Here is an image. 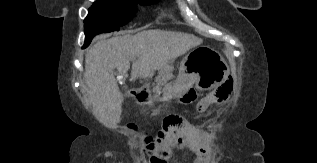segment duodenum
Instances as JSON below:
<instances>
[{
	"instance_id": "410a0bca",
	"label": "duodenum",
	"mask_w": 317,
	"mask_h": 163,
	"mask_svg": "<svg viewBox=\"0 0 317 163\" xmlns=\"http://www.w3.org/2000/svg\"><path fill=\"white\" fill-rule=\"evenodd\" d=\"M138 94H139V91L137 89H133L129 92L130 97H133V98L137 97Z\"/></svg>"
}]
</instances>
